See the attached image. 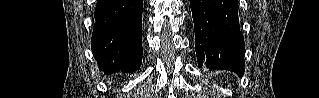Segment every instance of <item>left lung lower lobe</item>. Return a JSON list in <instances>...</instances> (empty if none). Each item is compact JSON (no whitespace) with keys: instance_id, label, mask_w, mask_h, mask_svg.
Here are the masks:
<instances>
[{"instance_id":"0a47b994","label":"left lung lower lobe","mask_w":319,"mask_h":98,"mask_svg":"<svg viewBox=\"0 0 319 98\" xmlns=\"http://www.w3.org/2000/svg\"><path fill=\"white\" fill-rule=\"evenodd\" d=\"M199 67L244 73L237 0H190Z\"/></svg>"}]
</instances>
